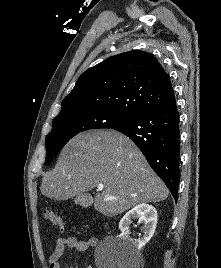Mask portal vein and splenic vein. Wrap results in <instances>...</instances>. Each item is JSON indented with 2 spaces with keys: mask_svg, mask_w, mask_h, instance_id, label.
<instances>
[{
  "mask_svg": "<svg viewBox=\"0 0 221 268\" xmlns=\"http://www.w3.org/2000/svg\"><path fill=\"white\" fill-rule=\"evenodd\" d=\"M97 188H98V190L101 191V190H103V185H98ZM106 199H107V200H113V199H116V198L111 197V196H106Z\"/></svg>",
  "mask_w": 221,
  "mask_h": 268,
  "instance_id": "1",
  "label": "portal vein and splenic vein"
}]
</instances>
